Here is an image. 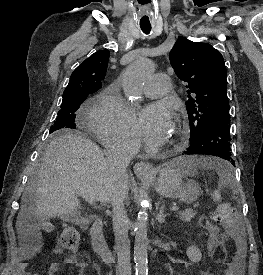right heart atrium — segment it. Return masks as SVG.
Wrapping results in <instances>:
<instances>
[{
	"mask_svg": "<svg viewBox=\"0 0 263 275\" xmlns=\"http://www.w3.org/2000/svg\"><path fill=\"white\" fill-rule=\"evenodd\" d=\"M88 127L106 147L133 151L139 146L132 114L114 89L102 92L90 107Z\"/></svg>",
	"mask_w": 263,
	"mask_h": 275,
	"instance_id": "obj_1",
	"label": "right heart atrium"
}]
</instances>
